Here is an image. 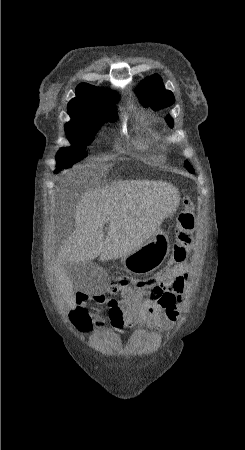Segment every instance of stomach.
Segmentation results:
<instances>
[{
    "label": "stomach",
    "instance_id": "0dacf381",
    "mask_svg": "<svg viewBox=\"0 0 245 450\" xmlns=\"http://www.w3.org/2000/svg\"><path fill=\"white\" fill-rule=\"evenodd\" d=\"M169 252V237L159 226L150 241L131 254L121 258V262L127 271L131 273L149 274L164 262Z\"/></svg>",
    "mask_w": 245,
    "mask_h": 450
}]
</instances>
